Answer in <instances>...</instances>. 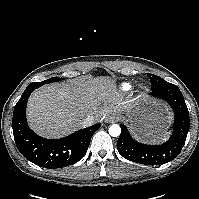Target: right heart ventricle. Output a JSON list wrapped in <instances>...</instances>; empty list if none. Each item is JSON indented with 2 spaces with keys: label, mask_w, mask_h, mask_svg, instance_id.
<instances>
[{
  "label": "right heart ventricle",
  "mask_w": 199,
  "mask_h": 199,
  "mask_svg": "<svg viewBox=\"0 0 199 199\" xmlns=\"http://www.w3.org/2000/svg\"><path fill=\"white\" fill-rule=\"evenodd\" d=\"M131 88H132V85L130 83H123L121 84L119 89L121 93L126 94L131 90Z\"/></svg>",
  "instance_id": "e07e8e85"
}]
</instances>
